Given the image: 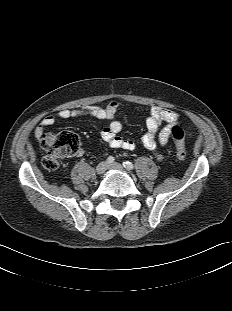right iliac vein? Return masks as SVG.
<instances>
[{"label":"right iliac vein","mask_w":232,"mask_h":311,"mask_svg":"<svg viewBox=\"0 0 232 311\" xmlns=\"http://www.w3.org/2000/svg\"><path fill=\"white\" fill-rule=\"evenodd\" d=\"M108 168V163L107 162H100L97 166H96V173L101 175L103 173H105V171Z\"/></svg>","instance_id":"63e3f726"}]
</instances>
